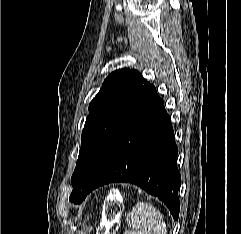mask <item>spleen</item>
Returning <instances> with one entry per match:
<instances>
[{"mask_svg": "<svg viewBox=\"0 0 241 234\" xmlns=\"http://www.w3.org/2000/svg\"><path fill=\"white\" fill-rule=\"evenodd\" d=\"M126 220L130 229L125 234H167L163 215L151 203L138 202Z\"/></svg>", "mask_w": 241, "mask_h": 234, "instance_id": "obj_1", "label": "spleen"}]
</instances>
